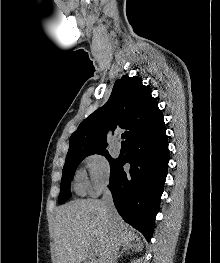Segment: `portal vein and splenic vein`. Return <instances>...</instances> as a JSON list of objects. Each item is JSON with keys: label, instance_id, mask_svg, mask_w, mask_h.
Segmentation results:
<instances>
[{"label": "portal vein and splenic vein", "instance_id": "18ae733b", "mask_svg": "<svg viewBox=\"0 0 220 263\" xmlns=\"http://www.w3.org/2000/svg\"><path fill=\"white\" fill-rule=\"evenodd\" d=\"M92 250H93L95 253L98 252L97 244H93Z\"/></svg>", "mask_w": 220, "mask_h": 263}]
</instances>
